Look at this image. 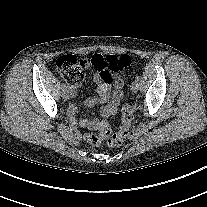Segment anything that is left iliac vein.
I'll return each mask as SVG.
<instances>
[{"label":"left iliac vein","mask_w":207,"mask_h":207,"mask_svg":"<svg viewBox=\"0 0 207 207\" xmlns=\"http://www.w3.org/2000/svg\"><path fill=\"white\" fill-rule=\"evenodd\" d=\"M138 89H139V83H138V81H133V83L131 84V90L133 92H137Z\"/></svg>","instance_id":"1"}]
</instances>
